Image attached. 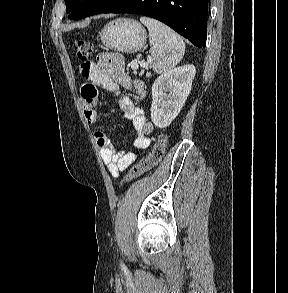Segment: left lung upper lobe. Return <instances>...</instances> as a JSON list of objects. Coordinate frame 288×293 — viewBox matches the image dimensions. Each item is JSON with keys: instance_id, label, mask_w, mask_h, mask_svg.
<instances>
[{"instance_id": "left-lung-upper-lobe-1", "label": "left lung upper lobe", "mask_w": 288, "mask_h": 293, "mask_svg": "<svg viewBox=\"0 0 288 293\" xmlns=\"http://www.w3.org/2000/svg\"><path fill=\"white\" fill-rule=\"evenodd\" d=\"M119 0H65L67 13L74 20L102 13Z\"/></svg>"}]
</instances>
